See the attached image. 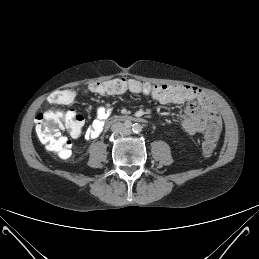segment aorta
<instances>
[{
    "label": "aorta",
    "mask_w": 259,
    "mask_h": 259,
    "mask_svg": "<svg viewBox=\"0 0 259 259\" xmlns=\"http://www.w3.org/2000/svg\"><path fill=\"white\" fill-rule=\"evenodd\" d=\"M139 130H140V126L139 125H134L133 131L138 132Z\"/></svg>",
    "instance_id": "aorta-1"
}]
</instances>
